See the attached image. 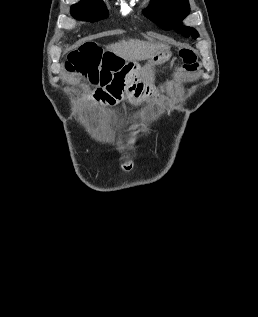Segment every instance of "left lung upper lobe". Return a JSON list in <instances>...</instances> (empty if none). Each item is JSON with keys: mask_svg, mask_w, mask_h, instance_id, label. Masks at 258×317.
Wrapping results in <instances>:
<instances>
[{"mask_svg": "<svg viewBox=\"0 0 258 317\" xmlns=\"http://www.w3.org/2000/svg\"><path fill=\"white\" fill-rule=\"evenodd\" d=\"M151 3L152 10H146L144 14L159 26L167 30L173 27L185 37L190 35L193 38L198 37L194 28L186 27L183 29L178 24H172L173 20H181L189 14L190 7L187 0H151Z\"/></svg>", "mask_w": 258, "mask_h": 317, "instance_id": "left-lung-upper-lobe-1", "label": "left lung upper lobe"}]
</instances>
